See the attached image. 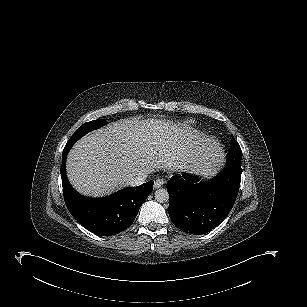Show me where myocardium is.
<instances>
[{
    "instance_id": "1",
    "label": "myocardium",
    "mask_w": 307,
    "mask_h": 307,
    "mask_svg": "<svg viewBox=\"0 0 307 307\" xmlns=\"http://www.w3.org/2000/svg\"><path fill=\"white\" fill-rule=\"evenodd\" d=\"M178 160H180V161H184L185 159L184 158H179ZM179 163V162H178Z\"/></svg>"
}]
</instances>
